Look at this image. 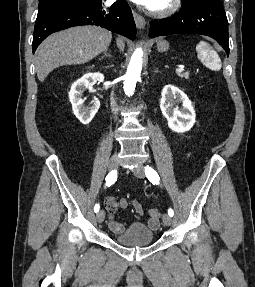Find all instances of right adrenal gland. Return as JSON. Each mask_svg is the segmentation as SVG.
<instances>
[{
    "label": "right adrenal gland",
    "instance_id": "1",
    "mask_svg": "<svg viewBox=\"0 0 255 287\" xmlns=\"http://www.w3.org/2000/svg\"><path fill=\"white\" fill-rule=\"evenodd\" d=\"M106 56H107V58H112V56H110V54H107V50H106V52H104V56H101V58H98V60H104V58H106Z\"/></svg>",
    "mask_w": 255,
    "mask_h": 287
}]
</instances>
